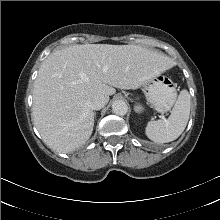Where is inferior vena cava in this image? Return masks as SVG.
Here are the masks:
<instances>
[{"label":"inferior vena cava","mask_w":220,"mask_h":220,"mask_svg":"<svg viewBox=\"0 0 220 220\" xmlns=\"http://www.w3.org/2000/svg\"><path fill=\"white\" fill-rule=\"evenodd\" d=\"M87 103L91 109L99 110L105 106L106 98L101 93H93L89 96Z\"/></svg>","instance_id":"obj_1"}]
</instances>
